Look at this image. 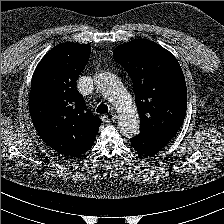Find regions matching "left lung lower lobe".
<instances>
[{
	"label": "left lung lower lobe",
	"instance_id": "1",
	"mask_svg": "<svg viewBox=\"0 0 224 224\" xmlns=\"http://www.w3.org/2000/svg\"><path fill=\"white\" fill-rule=\"evenodd\" d=\"M131 146L140 154L149 156L158 153L168 142L157 136L140 130V133L130 139Z\"/></svg>",
	"mask_w": 224,
	"mask_h": 224
}]
</instances>
